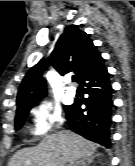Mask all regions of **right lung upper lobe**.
<instances>
[{
    "label": "right lung upper lobe",
    "instance_id": "1",
    "mask_svg": "<svg viewBox=\"0 0 135 166\" xmlns=\"http://www.w3.org/2000/svg\"><path fill=\"white\" fill-rule=\"evenodd\" d=\"M102 59L88 34L76 25L67 26L50 60H40L24 77L17 93V109L36 104L46 96V82L42 73L50 63L61 75L74 71L79 79Z\"/></svg>",
    "mask_w": 135,
    "mask_h": 166
}]
</instances>
